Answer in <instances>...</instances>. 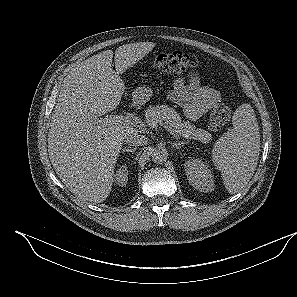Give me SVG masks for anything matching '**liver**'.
I'll list each match as a JSON object with an SVG mask.
<instances>
[{"instance_id": "6515ba94", "label": "liver", "mask_w": 297, "mask_h": 297, "mask_svg": "<svg viewBox=\"0 0 297 297\" xmlns=\"http://www.w3.org/2000/svg\"><path fill=\"white\" fill-rule=\"evenodd\" d=\"M155 46L153 42L106 50L72 68L64 78L51 117L48 152L53 168L78 200L100 203L110 194L114 169L131 125H100L98 117L117 108L125 92L119 73L132 67Z\"/></svg>"}]
</instances>
